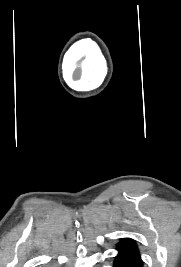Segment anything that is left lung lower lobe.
I'll return each instance as SVG.
<instances>
[{
  "label": "left lung lower lobe",
  "instance_id": "left-lung-lower-lobe-1",
  "mask_svg": "<svg viewBox=\"0 0 181 267\" xmlns=\"http://www.w3.org/2000/svg\"><path fill=\"white\" fill-rule=\"evenodd\" d=\"M117 247L119 253L115 257L114 267H143V262L133 239H122Z\"/></svg>",
  "mask_w": 181,
  "mask_h": 267
}]
</instances>
